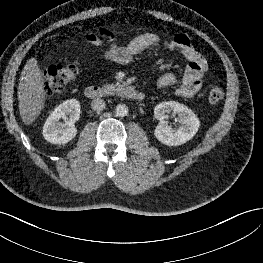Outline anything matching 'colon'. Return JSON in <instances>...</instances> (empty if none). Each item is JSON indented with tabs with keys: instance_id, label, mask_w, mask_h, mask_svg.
<instances>
[{
	"instance_id": "1",
	"label": "colon",
	"mask_w": 263,
	"mask_h": 263,
	"mask_svg": "<svg viewBox=\"0 0 263 263\" xmlns=\"http://www.w3.org/2000/svg\"><path fill=\"white\" fill-rule=\"evenodd\" d=\"M78 70L77 63L68 65H51L44 71V91L52 95L63 91L66 86L75 78ZM224 97V90L221 86L213 84L208 89V100L211 103H218Z\"/></svg>"
}]
</instances>
